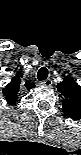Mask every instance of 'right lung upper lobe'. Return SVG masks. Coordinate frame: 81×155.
<instances>
[{"mask_svg":"<svg viewBox=\"0 0 81 155\" xmlns=\"http://www.w3.org/2000/svg\"><path fill=\"white\" fill-rule=\"evenodd\" d=\"M23 76L22 72H18L11 80V82L3 89V94L6 98V100L10 104H14L18 101V92H19V87L21 84V77ZM25 88L28 90L32 89L35 87L33 83H30L29 81L25 82L23 84Z\"/></svg>","mask_w":81,"mask_h":155,"instance_id":"1","label":"right lung upper lobe"}]
</instances>
